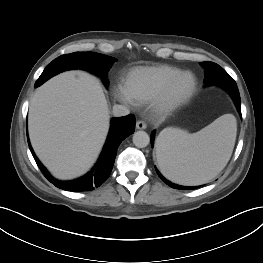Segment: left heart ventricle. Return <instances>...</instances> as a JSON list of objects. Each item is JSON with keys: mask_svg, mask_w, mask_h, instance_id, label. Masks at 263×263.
I'll return each mask as SVG.
<instances>
[{"mask_svg": "<svg viewBox=\"0 0 263 263\" xmlns=\"http://www.w3.org/2000/svg\"><path fill=\"white\" fill-rule=\"evenodd\" d=\"M191 77H185L177 86L176 92L178 94L184 93L191 85Z\"/></svg>", "mask_w": 263, "mask_h": 263, "instance_id": "left-heart-ventricle-1", "label": "left heart ventricle"}]
</instances>
